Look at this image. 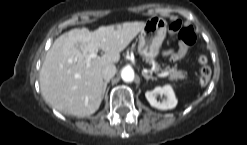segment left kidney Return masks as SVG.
Segmentation results:
<instances>
[{"instance_id":"1","label":"left kidney","mask_w":247,"mask_h":145,"mask_svg":"<svg viewBox=\"0 0 247 145\" xmlns=\"http://www.w3.org/2000/svg\"><path fill=\"white\" fill-rule=\"evenodd\" d=\"M157 95H164L166 99L162 102H158ZM145 97L152 107L168 110L173 109L177 105V99L175 93L170 85H165L163 87H156L151 91L145 93Z\"/></svg>"}]
</instances>
